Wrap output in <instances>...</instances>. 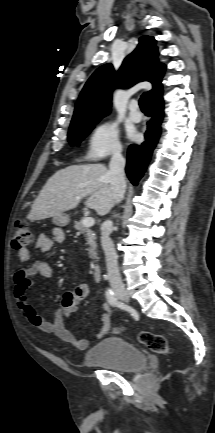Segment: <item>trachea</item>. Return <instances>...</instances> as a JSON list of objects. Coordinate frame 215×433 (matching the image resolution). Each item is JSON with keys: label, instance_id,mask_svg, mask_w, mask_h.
I'll return each instance as SVG.
<instances>
[{"label": "trachea", "instance_id": "1", "mask_svg": "<svg viewBox=\"0 0 215 433\" xmlns=\"http://www.w3.org/2000/svg\"><path fill=\"white\" fill-rule=\"evenodd\" d=\"M139 105L142 111H150L146 93H143L140 97Z\"/></svg>", "mask_w": 215, "mask_h": 433}]
</instances>
